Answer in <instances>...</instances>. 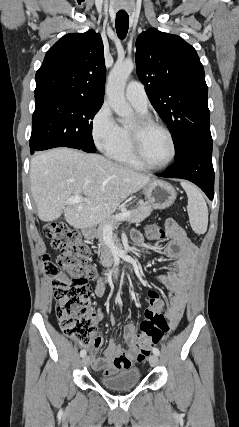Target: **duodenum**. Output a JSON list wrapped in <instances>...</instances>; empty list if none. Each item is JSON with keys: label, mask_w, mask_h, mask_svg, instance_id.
Here are the masks:
<instances>
[{"label": "duodenum", "mask_w": 239, "mask_h": 427, "mask_svg": "<svg viewBox=\"0 0 239 427\" xmlns=\"http://www.w3.org/2000/svg\"><path fill=\"white\" fill-rule=\"evenodd\" d=\"M89 233H90V231L86 230V234H89ZM128 265H129V263H128V262H122L120 265H117V266H114V267L109 268V269H108V274H109L110 276H112L113 278H117V276L119 275L120 271H121L124 267H126V266H128Z\"/></svg>", "instance_id": "410a0bca"}]
</instances>
